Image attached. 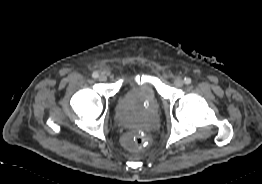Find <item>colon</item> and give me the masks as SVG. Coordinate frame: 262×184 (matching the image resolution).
<instances>
[{
  "instance_id": "obj_1",
  "label": "colon",
  "mask_w": 262,
  "mask_h": 184,
  "mask_svg": "<svg viewBox=\"0 0 262 184\" xmlns=\"http://www.w3.org/2000/svg\"><path fill=\"white\" fill-rule=\"evenodd\" d=\"M123 143L128 149H141L147 146L148 138L142 133H136L125 136Z\"/></svg>"
}]
</instances>
